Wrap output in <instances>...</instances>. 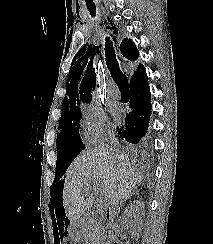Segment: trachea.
<instances>
[{"label":"trachea","mask_w":213,"mask_h":244,"mask_svg":"<svg viewBox=\"0 0 213 244\" xmlns=\"http://www.w3.org/2000/svg\"><path fill=\"white\" fill-rule=\"evenodd\" d=\"M90 12L94 15L95 9H91ZM105 57L106 65L110 71V74L114 81L116 82L121 93H129L128 80L125 74L119 68V64L116 60L115 51L113 48L112 41L109 38H106L105 43Z\"/></svg>","instance_id":"3493384b"}]
</instances>
